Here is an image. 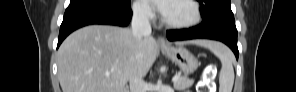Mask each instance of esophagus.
Instances as JSON below:
<instances>
[{
	"mask_svg": "<svg viewBox=\"0 0 296 92\" xmlns=\"http://www.w3.org/2000/svg\"><path fill=\"white\" fill-rule=\"evenodd\" d=\"M157 43L161 47H168L169 46V44L167 43V41L162 36H159L157 38Z\"/></svg>",
	"mask_w": 296,
	"mask_h": 92,
	"instance_id": "34e87169",
	"label": "esophagus"
}]
</instances>
